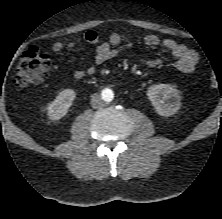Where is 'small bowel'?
Instances as JSON below:
<instances>
[{
  "label": "small bowel",
  "instance_id": "c3829d8e",
  "mask_svg": "<svg viewBox=\"0 0 222 219\" xmlns=\"http://www.w3.org/2000/svg\"><path fill=\"white\" fill-rule=\"evenodd\" d=\"M84 40L95 46V62L96 64L105 63L120 54L128 51L132 47V41L129 36L121 35L118 33H112L107 40H100L96 31H87ZM78 40H60L52 45L54 52H60L65 48L74 47ZM144 43L148 47H156L162 45V47L168 51L174 58L173 66L183 73H193L196 70L198 61L197 53L189 49L183 44L178 43L173 39L160 38L155 34H147L144 37ZM141 65L149 68L157 67L160 65L161 60L159 58H141ZM95 66H89L84 70H77L73 73V76L77 80L84 79L95 73Z\"/></svg>",
  "mask_w": 222,
  "mask_h": 219
}]
</instances>
